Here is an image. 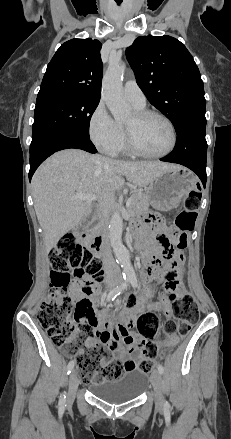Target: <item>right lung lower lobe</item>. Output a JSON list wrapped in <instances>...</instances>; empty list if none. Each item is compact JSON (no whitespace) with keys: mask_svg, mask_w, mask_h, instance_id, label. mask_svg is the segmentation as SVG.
Returning a JSON list of instances; mask_svg holds the SVG:
<instances>
[{"mask_svg":"<svg viewBox=\"0 0 231 439\" xmlns=\"http://www.w3.org/2000/svg\"><path fill=\"white\" fill-rule=\"evenodd\" d=\"M69 148L82 149L90 153H96L97 150L90 141L89 136L79 132L62 129L45 135L36 143L30 145V171L29 179L31 180L37 167L53 153Z\"/></svg>","mask_w":231,"mask_h":439,"instance_id":"obj_1","label":"right lung lower lobe"}]
</instances>
